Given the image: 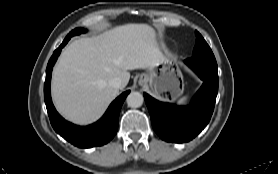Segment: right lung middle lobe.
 Instances as JSON below:
<instances>
[{
    "mask_svg": "<svg viewBox=\"0 0 278 174\" xmlns=\"http://www.w3.org/2000/svg\"><path fill=\"white\" fill-rule=\"evenodd\" d=\"M85 32H86L85 29L76 28V29L72 30V31L67 35V38L70 39L72 36L79 35V34L85 33Z\"/></svg>",
    "mask_w": 278,
    "mask_h": 174,
    "instance_id": "1",
    "label": "right lung middle lobe"
}]
</instances>
